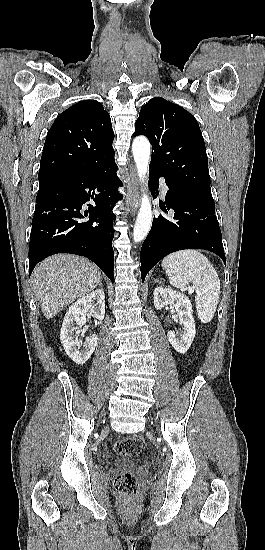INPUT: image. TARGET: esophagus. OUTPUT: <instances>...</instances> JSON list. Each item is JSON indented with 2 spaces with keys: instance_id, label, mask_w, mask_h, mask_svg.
Segmentation results:
<instances>
[{
  "instance_id": "obj_1",
  "label": "esophagus",
  "mask_w": 265,
  "mask_h": 550,
  "mask_svg": "<svg viewBox=\"0 0 265 550\" xmlns=\"http://www.w3.org/2000/svg\"><path fill=\"white\" fill-rule=\"evenodd\" d=\"M130 180H131V191L128 195V203H129L131 212L135 214L139 208L140 195L138 191V178H137L136 169L134 166L130 167Z\"/></svg>"
}]
</instances>
